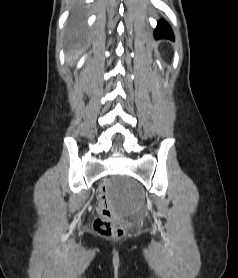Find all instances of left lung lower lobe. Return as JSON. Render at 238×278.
<instances>
[{
  "label": "left lung lower lobe",
  "mask_w": 238,
  "mask_h": 278,
  "mask_svg": "<svg viewBox=\"0 0 238 278\" xmlns=\"http://www.w3.org/2000/svg\"><path fill=\"white\" fill-rule=\"evenodd\" d=\"M155 37L174 39L170 26L164 21L158 22V26L155 30Z\"/></svg>",
  "instance_id": "obj_1"
}]
</instances>
